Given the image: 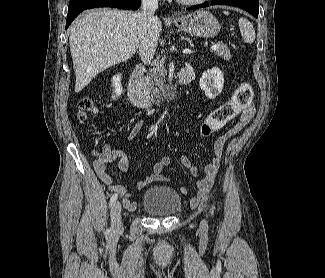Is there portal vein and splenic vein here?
<instances>
[{"label": "portal vein and splenic vein", "mask_w": 325, "mask_h": 278, "mask_svg": "<svg viewBox=\"0 0 325 278\" xmlns=\"http://www.w3.org/2000/svg\"><path fill=\"white\" fill-rule=\"evenodd\" d=\"M220 46V43H213V45L211 46V49L212 50H215V49H217L218 47ZM183 54H193L194 53V51H192V50H190V49H184L183 51Z\"/></svg>", "instance_id": "obj_1"}]
</instances>
